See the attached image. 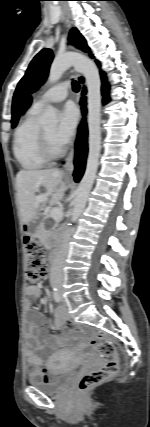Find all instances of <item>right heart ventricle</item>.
<instances>
[{"label":"right heart ventricle","mask_w":150,"mask_h":427,"mask_svg":"<svg viewBox=\"0 0 150 427\" xmlns=\"http://www.w3.org/2000/svg\"><path fill=\"white\" fill-rule=\"evenodd\" d=\"M39 112V109L31 107L14 135V156L21 168L28 171L42 169L47 163L39 152L40 127L36 123Z\"/></svg>","instance_id":"e07e8e85"}]
</instances>
